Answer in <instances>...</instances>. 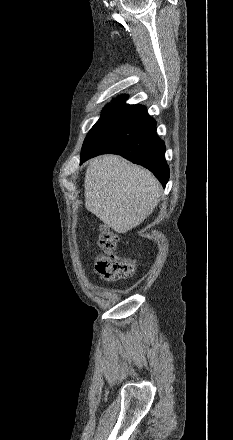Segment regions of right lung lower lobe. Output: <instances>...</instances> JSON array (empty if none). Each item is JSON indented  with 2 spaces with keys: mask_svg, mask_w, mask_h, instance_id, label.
I'll return each instance as SVG.
<instances>
[{
  "mask_svg": "<svg viewBox=\"0 0 233 440\" xmlns=\"http://www.w3.org/2000/svg\"><path fill=\"white\" fill-rule=\"evenodd\" d=\"M118 154L149 169L165 187L169 167L165 144L156 134V121L145 106L125 105L101 126L87 135L80 164L100 154Z\"/></svg>",
  "mask_w": 233,
  "mask_h": 440,
  "instance_id": "right-lung-lower-lobe-1",
  "label": "right lung lower lobe"
}]
</instances>
